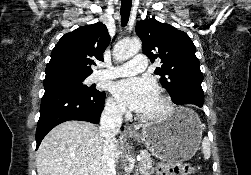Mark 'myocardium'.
I'll return each mask as SVG.
<instances>
[{"instance_id": "1", "label": "myocardium", "mask_w": 251, "mask_h": 175, "mask_svg": "<svg viewBox=\"0 0 251 175\" xmlns=\"http://www.w3.org/2000/svg\"><path fill=\"white\" fill-rule=\"evenodd\" d=\"M160 108L155 113H151L147 116L150 120H163L170 117L175 111V105L171 97L167 95H161L159 98Z\"/></svg>"}]
</instances>
